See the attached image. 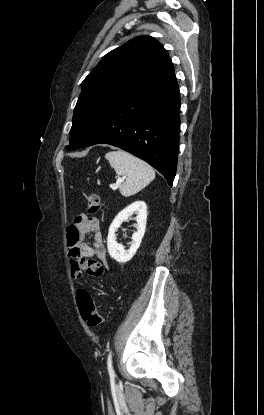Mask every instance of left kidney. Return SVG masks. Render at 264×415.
<instances>
[{
	"instance_id": "left-kidney-1",
	"label": "left kidney",
	"mask_w": 264,
	"mask_h": 415,
	"mask_svg": "<svg viewBox=\"0 0 264 415\" xmlns=\"http://www.w3.org/2000/svg\"><path fill=\"white\" fill-rule=\"evenodd\" d=\"M134 213L136 216V231L132 235V242L129 249H125L123 245L118 244L116 240V231L121 226V224L130 218ZM147 221V205L143 201H136L126 208H124L118 215L115 217L113 222L109 227V233L107 237V248L109 255L119 263H126L132 259L135 255L137 249L139 248L142 238L145 233Z\"/></svg>"
}]
</instances>
